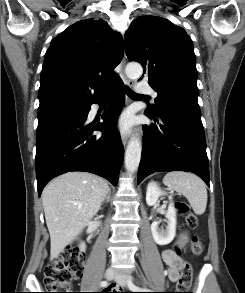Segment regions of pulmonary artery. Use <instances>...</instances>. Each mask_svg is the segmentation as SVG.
<instances>
[{
	"instance_id": "1",
	"label": "pulmonary artery",
	"mask_w": 245,
	"mask_h": 293,
	"mask_svg": "<svg viewBox=\"0 0 245 293\" xmlns=\"http://www.w3.org/2000/svg\"><path fill=\"white\" fill-rule=\"evenodd\" d=\"M138 92L141 95L151 94L154 97L157 95L154 90L147 89L143 83L138 86Z\"/></svg>"
}]
</instances>
